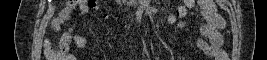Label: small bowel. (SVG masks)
Masks as SVG:
<instances>
[{"instance_id": "c3829d8e", "label": "small bowel", "mask_w": 267, "mask_h": 60, "mask_svg": "<svg viewBox=\"0 0 267 60\" xmlns=\"http://www.w3.org/2000/svg\"><path fill=\"white\" fill-rule=\"evenodd\" d=\"M188 4L182 8L178 14L182 16L186 13L187 8L195 4L194 0H188ZM200 15L203 18L202 23L195 25L196 38L195 44L197 48L206 56L214 60H226V54L222 50L223 37L222 30L225 27V20L217 13L216 6L212 0H199ZM79 7L82 14L88 11L84 10L81 5L75 2H68L61 11L60 18L53 24L55 30L60 29L63 22ZM186 25L182 22L177 23L175 32L183 30ZM74 27H70L59 40V45L65 53H68L70 43L73 40L78 48H84L87 44V38L84 33H77L73 36ZM175 39V37H174Z\"/></svg>"}]
</instances>
